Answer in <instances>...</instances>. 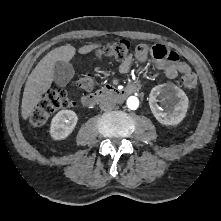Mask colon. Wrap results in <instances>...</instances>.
Instances as JSON below:
<instances>
[{"instance_id": "5ec220e1", "label": "colon", "mask_w": 221, "mask_h": 221, "mask_svg": "<svg viewBox=\"0 0 221 221\" xmlns=\"http://www.w3.org/2000/svg\"><path fill=\"white\" fill-rule=\"evenodd\" d=\"M133 44L129 40H120L107 44L97 50V55L117 60H124L130 55ZM182 84L188 90L197 88V77L194 73L188 72L182 75ZM77 86L85 91L91 92L95 86V79L91 74H85L77 80ZM74 104L73 99L65 90H51L38 103L33 110L30 123L34 127L44 125L51 114L55 111L70 107Z\"/></svg>"}]
</instances>
